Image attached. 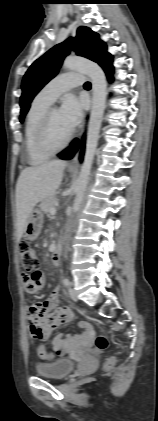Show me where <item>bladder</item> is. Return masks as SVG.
Here are the masks:
<instances>
[{"mask_svg": "<svg viewBox=\"0 0 158 421\" xmlns=\"http://www.w3.org/2000/svg\"><path fill=\"white\" fill-rule=\"evenodd\" d=\"M75 367L71 359L63 358L51 363H41L35 366V372L38 376L62 379L69 375Z\"/></svg>", "mask_w": 158, "mask_h": 421, "instance_id": "1", "label": "bladder"}]
</instances>
